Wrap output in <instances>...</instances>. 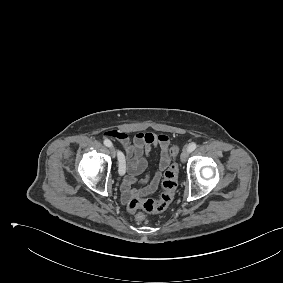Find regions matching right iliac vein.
<instances>
[{"label": "right iliac vein", "mask_w": 283, "mask_h": 283, "mask_svg": "<svg viewBox=\"0 0 283 283\" xmlns=\"http://www.w3.org/2000/svg\"><path fill=\"white\" fill-rule=\"evenodd\" d=\"M110 152H111V156H112L113 158H115V156H116V150H115L113 147H111V148H110Z\"/></svg>", "instance_id": "1"}]
</instances>
